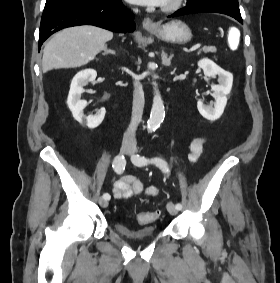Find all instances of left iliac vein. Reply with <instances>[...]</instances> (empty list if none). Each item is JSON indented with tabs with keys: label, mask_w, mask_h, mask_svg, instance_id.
I'll return each mask as SVG.
<instances>
[{
	"label": "left iliac vein",
	"mask_w": 280,
	"mask_h": 283,
	"mask_svg": "<svg viewBox=\"0 0 280 283\" xmlns=\"http://www.w3.org/2000/svg\"><path fill=\"white\" fill-rule=\"evenodd\" d=\"M129 154L131 155V158H133L135 156V150H132ZM167 210L171 215H176L179 211L172 202L167 203Z\"/></svg>",
	"instance_id": "obj_1"
}]
</instances>
